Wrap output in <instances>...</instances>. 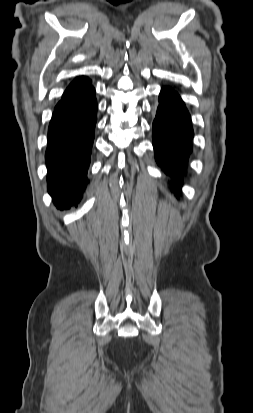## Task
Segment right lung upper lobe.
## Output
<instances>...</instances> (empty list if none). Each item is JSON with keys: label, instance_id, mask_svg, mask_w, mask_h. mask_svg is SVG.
Returning a JSON list of instances; mask_svg holds the SVG:
<instances>
[{"label": "right lung upper lobe", "instance_id": "1", "mask_svg": "<svg viewBox=\"0 0 253 413\" xmlns=\"http://www.w3.org/2000/svg\"><path fill=\"white\" fill-rule=\"evenodd\" d=\"M91 85L90 80L85 76H80L75 78L71 84L65 90L62 98L72 96L73 94L79 92L80 90Z\"/></svg>", "mask_w": 253, "mask_h": 413}]
</instances>
